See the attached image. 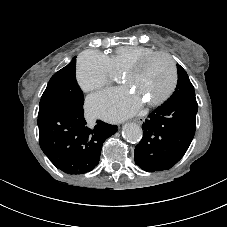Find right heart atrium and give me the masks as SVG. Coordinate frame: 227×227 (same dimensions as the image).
<instances>
[{
  "label": "right heart atrium",
  "mask_w": 227,
  "mask_h": 227,
  "mask_svg": "<svg viewBox=\"0 0 227 227\" xmlns=\"http://www.w3.org/2000/svg\"><path fill=\"white\" fill-rule=\"evenodd\" d=\"M114 70L107 55L86 50L78 58L76 80L85 92H94L107 85L113 77Z\"/></svg>",
  "instance_id": "right-heart-atrium-1"
}]
</instances>
